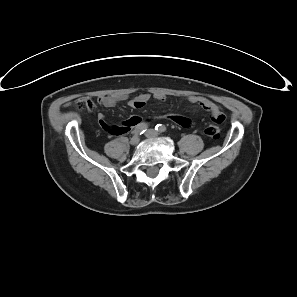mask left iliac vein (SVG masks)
I'll return each instance as SVG.
<instances>
[{"label":"left iliac vein","mask_w":297,"mask_h":297,"mask_svg":"<svg viewBox=\"0 0 297 297\" xmlns=\"http://www.w3.org/2000/svg\"><path fill=\"white\" fill-rule=\"evenodd\" d=\"M146 137L148 138H155L158 136V133L152 129L148 130L146 133H145Z\"/></svg>","instance_id":"4c4485c4"}]
</instances>
